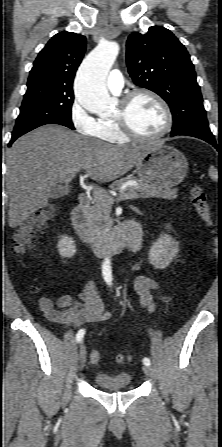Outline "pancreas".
<instances>
[{
	"instance_id": "1",
	"label": "pancreas",
	"mask_w": 222,
	"mask_h": 447,
	"mask_svg": "<svg viewBox=\"0 0 222 447\" xmlns=\"http://www.w3.org/2000/svg\"><path fill=\"white\" fill-rule=\"evenodd\" d=\"M128 181H136L138 186H128L125 191L131 193L135 198L157 197L173 200L177 197V189L162 188L155 184H149L142 179L129 176L115 181L110 185L113 190L120 191L121 186ZM102 195V196H101ZM101 195L93 194V206L87 215V231L88 234L97 240L106 234L112 227V219L109 217L113 202L112 198L106 191H102Z\"/></svg>"
}]
</instances>
